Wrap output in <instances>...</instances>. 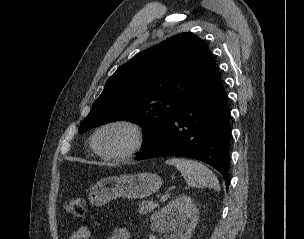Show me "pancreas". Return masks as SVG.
<instances>
[{"instance_id":"obj_1","label":"pancreas","mask_w":304,"mask_h":239,"mask_svg":"<svg viewBox=\"0 0 304 239\" xmlns=\"http://www.w3.org/2000/svg\"><path fill=\"white\" fill-rule=\"evenodd\" d=\"M157 207V204L149 201V202H141L139 204V213L147 214L148 212H152Z\"/></svg>"}]
</instances>
